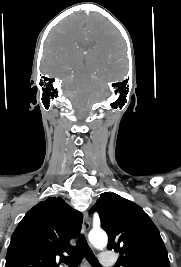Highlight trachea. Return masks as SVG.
I'll list each match as a JSON object with an SVG mask.
<instances>
[{"instance_id":"trachea-1","label":"trachea","mask_w":181,"mask_h":267,"mask_svg":"<svg viewBox=\"0 0 181 267\" xmlns=\"http://www.w3.org/2000/svg\"><path fill=\"white\" fill-rule=\"evenodd\" d=\"M84 257L93 267H101L97 258L88 246L86 239L82 235L78 240L74 253L69 257L63 258L61 262L68 264L70 267H78Z\"/></svg>"}]
</instances>
